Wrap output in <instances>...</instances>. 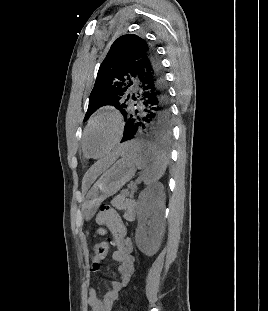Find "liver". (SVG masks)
<instances>
[{
	"mask_svg": "<svg viewBox=\"0 0 268 311\" xmlns=\"http://www.w3.org/2000/svg\"><path fill=\"white\" fill-rule=\"evenodd\" d=\"M126 146L120 147L116 152L99 160L84 176V182L94 181L102 172H104L111 164L114 163L119 154H124Z\"/></svg>",
	"mask_w": 268,
	"mask_h": 311,
	"instance_id": "1",
	"label": "liver"
}]
</instances>
